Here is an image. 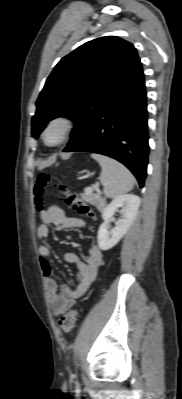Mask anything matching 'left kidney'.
Here are the masks:
<instances>
[{"mask_svg":"<svg viewBox=\"0 0 182 399\" xmlns=\"http://www.w3.org/2000/svg\"><path fill=\"white\" fill-rule=\"evenodd\" d=\"M140 206V198L134 194H125L115 197L102 211L104 222L98 231V246L106 251L114 247L127 232L134 221ZM121 209V218L115 223V227L108 231V225L113 215Z\"/></svg>","mask_w":182,"mask_h":399,"instance_id":"left-kidney-1","label":"left kidney"}]
</instances>
